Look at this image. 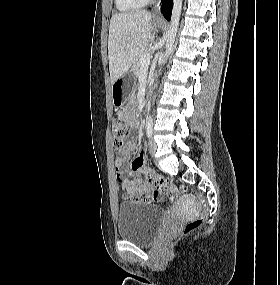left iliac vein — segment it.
Instances as JSON below:
<instances>
[{"mask_svg":"<svg viewBox=\"0 0 280 285\" xmlns=\"http://www.w3.org/2000/svg\"><path fill=\"white\" fill-rule=\"evenodd\" d=\"M148 148H149V153L154 156L155 152H156V142L153 138H150L149 139V142H148Z\"/></svg>","mask_w":280,"mask_h":285,"instance_id":"1","label":"left iliac vein"}]
</instances>
